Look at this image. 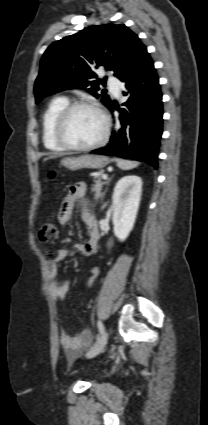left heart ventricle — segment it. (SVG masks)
I'll list each match as a JSON object with an SVG mask.
<instances>
[{
  "mask_svg": "<svg viewBox=\"0 0 208 425\" xmlns=\"http://www.w3.org/2000/svg\"><path fill=\"white\" fill-rule=\"evenodd\" d=\"M103 128V120L96 111L82 108L72 114L66 137L72 144L86 146L100 138Z\"/></svg>",
  "mask_w": 208,
  "mask_h": 425,
  "instance_id": "left-heart-ventricle-1",
  "label": "left heart ventricle"
}]
</instances>
